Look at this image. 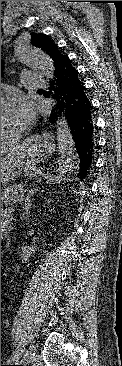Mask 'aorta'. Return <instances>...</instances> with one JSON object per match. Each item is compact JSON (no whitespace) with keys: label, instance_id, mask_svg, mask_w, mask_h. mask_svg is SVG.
<instances>
[{"label":"aorta","instance_id":"obj_1","mask_svg":"<svg viewBox=\"0 0 122 366\" xmlns=\"http://www.w3.org/2000/svg\"><path fill=\"white\" fill-rule=\"evenodd\" d=\"M16 60L32 70L39 71L48 79L54 78V62L42 49L29 45L18 44L15 48ZM56 140L58 159L56 169L63 174L74 167L75 145L69 123L62 112L56 121Z\"/></svg>","mask_w":122,"mask_h":366}]
</instances>
